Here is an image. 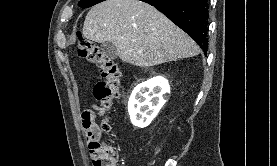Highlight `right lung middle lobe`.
<instances>
[{
  "instance_id": "obj_1",
  "label": "right lung middle lobe",
  "mask_w": 277,
  "mask_h": 166,
  "mask_svg": "<svg viewBox=\"0 0 277 166\" xmlns=\"http://www.w3.org/2000/svg\"><path fill=\"white\" fill-rule=\"evenodd\" d=\"M102 1H104V0H80L78 5L81 8L84 9V8L91 7V6H93V5L97 4V3H100Z\"/></svg>"
}]
</instances>
